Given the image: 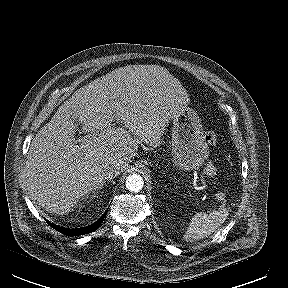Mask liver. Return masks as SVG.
<instances>
[{
    "label": "liver",
    "mask_w": 288,
    "mask_h": 288,
    "mask_svg": "<svg viewBox=\"0 0 288 288\" xmlns=\"http://www.w3.org/2000/svg\"><path fill=\"white\" fill-rule=\"evenodd\" d=\"M188 102L181 82L158 65L120 67L78 89L31 142L25 183L32 200L52 213H68L104 184L103 164L126 170L138 144L156 145ZM76 122L88 134L79 145Z\"/></svg>",
    "instance_id": "obj_1"
}]
</instances>
